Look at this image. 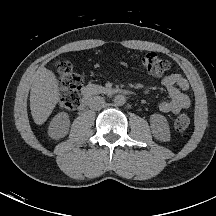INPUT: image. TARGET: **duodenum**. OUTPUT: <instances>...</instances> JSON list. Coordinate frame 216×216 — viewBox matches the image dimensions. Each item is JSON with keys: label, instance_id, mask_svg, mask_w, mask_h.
I'll list each match as a JSON object with an SVG mask.
<instances>
[{"label": "duodenum", "instance_id": "obj_1", "mask_svg": "<svg viewBox=\"0 0 216 216\" xmlns=\"http://www.w3.org/2000/svg\"><path fill=\"white\" fill-rule=\"evenodd\" d=\"M105 93L108 95H126L128 94V91L122 88H110V89H107ZM92 94H93L92 90L84 93V95L81 98L80 104H79L80 110H84L88 106L92 98Z\"/></svg>", "mask_w": 216, "mask_h": 216}]
</instances>
